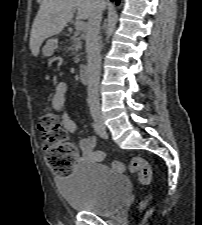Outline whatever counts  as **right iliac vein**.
Returning a JSON list of instances; mask_svg holds the SVG:
<instances>
[{"label":"right iliac vein","mask_w":202,"mask_h":225,"mask_svg":"<svg viewBox=\"0 0 202 225\" xmlns=\"http://www.w3.org/2000/svg\"><path fill=\"white\" fill-rule=\"evenodd\" d=\"M92 117L94 119V121L101 127L105 128L104 126V122H103V117L100 111H92Z\"/></svg>","instance_id":"obj_1"}]
</instances>
